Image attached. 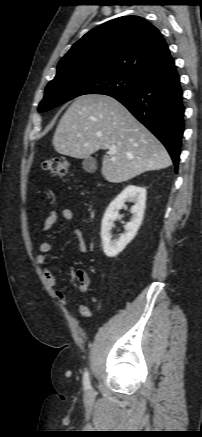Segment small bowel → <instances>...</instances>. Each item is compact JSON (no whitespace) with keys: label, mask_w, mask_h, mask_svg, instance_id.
<instances>
[{"label":"small bowel","mask_w":202,"mask_h":437,"mask_svg":"<svg viewBox=\"0 0 202 437\" xmlns=\"http://www.w3.org/2000/svg\"><path fill=\"white\" fill-rule=\"evenodd\" d=\"M58 211L55 209H52L47 217L45 218L42 226L39 228V232L40 233H45L47 231H49L57 222L58 220ZM60 214L62 216V218L65 221H72L74 219V213L71 209L68 208H63L60 210ZM74 234L78 240V249L81 253H86L87 252V246L83 237V233L79 228H75L74 229ZM51 243L48 240H43L39 247H38V253L35 257V261L37 263V265H39L40 267H44L45 263H46V254L51 250ZM44 277L45 280L47 282V284L51 287V288H55L56 287V279L55 276L53 275L52 271L48 268V267H44ZM89 286V279L86 275H83V282L82 284L79 285V288L82 292H85L87 290ZM57 296L61 299V301L63 302L66 310L68 311L69 314L74 315L73 311H72V304L71 301L69 300V298L67 297V295L65 294V292L61 289H56L55 290ZM78 310L79 313L85 317L88 318L91 316V310L88 306L86 305H79L78 306Z\"/></svg>","instance_id":"small-bowel-1"}]
</instances>
